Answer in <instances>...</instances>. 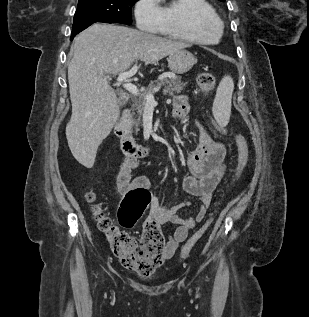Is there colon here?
<instances>
[{
	"instance_id": "obj_1",
	"label": "colon",
	"mask_w": 309,
	"mask_h": 317,
	"mask_svg": "<svg viewBox=\"0 0 309 317\" xmlns=\"http://www.w3.org/2000/svg\"><path fill=\"white\" fill-rule=\"evenodd\" d=\"M197 85L204 94L210 93L215 86V77L209 72H202L197 77ZM237 146V166L233 178L236 182L242 175L248 162L247 142L241 135H235ZM89 201L94 199L88 194ZM151 194L145 189L127 192L119 209V226L107 217L101 208L95 207L94 216L99 229L106 235L114 255L123 266L141 275H149L162 264L165 239L159 224L153 220L146 221L139 237H135L122 228L132 227L143 215L149 205ZM213 221L209 220L188 240L182 249V257L187 256L191 248L204 235Z\"/></svg>"
}]
</instances>
